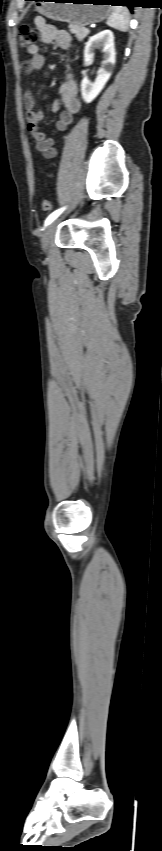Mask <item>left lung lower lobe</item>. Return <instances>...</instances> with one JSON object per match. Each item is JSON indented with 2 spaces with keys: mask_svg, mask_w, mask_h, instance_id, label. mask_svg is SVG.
<instances>
[{
  "mask_svg": "<svg viewBox=\"0 0 162 851\" xmlns=\"http://www.w3.org/2000/svg\"><path fill=\"white\" fill-rule=\"evenodd\" d=\"M29 1V0H27ZM30 1H40V0H30ZM105 3H110L112 5H123L128 6L129 8L133 7L129 0H105Z\"/></svg>",
  "mask_w": 162,
  "mask_h": 851,
  "instance_id": "left-lung-lower-lobe-1",
  "label": "left lung lower lobe"
}]
</instances>
